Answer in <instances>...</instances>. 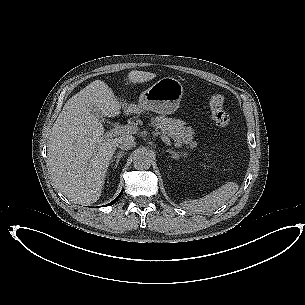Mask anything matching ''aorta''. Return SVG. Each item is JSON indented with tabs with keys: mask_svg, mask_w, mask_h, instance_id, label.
<instances>
[{
	"mask_svg": "<svg viewBox=\"0 0 305 305\" xmlns=\"http://www.w3.org/2000/svg\"><path fill=\"white\" fill-rule=\"evenodd\" d=\"M152 163V155L148 150L138 151L133 159V165L138 170L149 169Z\"/></svg>",
	"mask_w": 305,
	"mask_h": 305,
	"instance_id": "1",
	"label": "aorta"
}]
</instances>
